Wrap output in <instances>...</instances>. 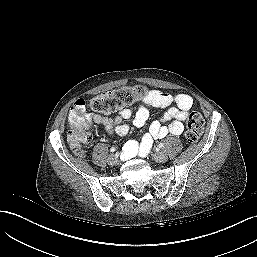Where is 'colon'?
Masks as SVG:
<instances>
[{
    "label": "colon",
    "mask_w": 257,
    "mask_h": 257,
    "mask_svg": "<svg viewBox=\"0 0 257 257\" xmlns=\"http://www.w3.org/2000/svg\"><path fill=\"white\" fill-rule=\"evenodd\" d=\"M147 91L143 86L136 85L125 87L115 91L100 94L86 101L78 99L72 106L68 117V139L70 145L77 155H82L84 145L91 140V133L88 129V119L84 114L86 107L109 113L133 105L144 99ZM204 126V119L198 112H191L186 121L185 138L188 142L198 141Z\"/></svg>",
    "instance_id": "5ec220e1"
}]
</instances>
